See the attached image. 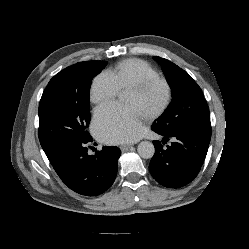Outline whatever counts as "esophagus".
I'll use <instances>...</instances> for the list:
<instances>
[{
  "instance_id": "34e87169",
  "label": "esophagus",
  "mask_w": 249,
  "mask_h": 249,
  "mask_svg": "<svg viewBox=\"0 0 249 249\" xmlns=\"http://www.w3.org/2000/svg\"><path fill=\"white\" fill-rule=\"evenodd\" d=\"M131 148H132V145H128V144L120 146V149L122 152H126V151L130 150Z\"/></svg>"
}]
</instances>
